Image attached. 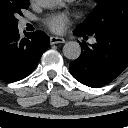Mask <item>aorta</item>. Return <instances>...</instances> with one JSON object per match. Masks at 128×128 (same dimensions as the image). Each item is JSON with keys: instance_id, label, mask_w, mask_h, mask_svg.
Returning <instances> with one entry per match:
<instances>
[{"instance_id": "obj_1", "label": "aorta", "mask_w": 128, "mask_h": 128, "mask_svg": "<svg viewBox=\"0 0 128 128\" xmlns=\"http://www.w3.org/2000/svg\"><path fill=\"white\" fill-rule=\"evenodd\" d=\"M38 4L43 8H53L57 6L61 0H37ZM63 54L67 59L76 60L81 55V46L77 41L66 42L63 46Z\"/></svg>"}]
</instances>
